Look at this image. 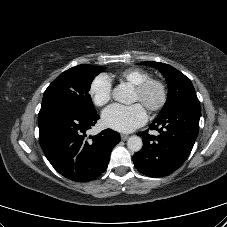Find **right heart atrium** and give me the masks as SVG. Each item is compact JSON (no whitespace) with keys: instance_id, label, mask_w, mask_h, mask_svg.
I'll return each mask as SVG.
<instances>
[{"instance_id":"right-heart-atrium-1","label":"right heart atrium","mask_w":227,"mask_h":227,"mask_svg":"<svg viewBox=\"0 0 227 227\" xmlns=\"http://www.w3.org/2000/svg\"><path fill=\"white\" fill-rule=\"evenodd\" d=\"M89 96L94 105L98 107L106 105L112 97L110 78L105 74L95 77L89 86Z\"/></svg>"}]
</instances>
